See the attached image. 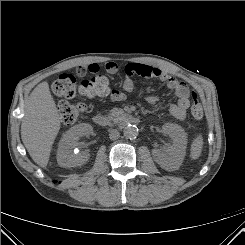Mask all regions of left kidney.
Wrapping results in <instances>:
<instances>
[{
	"mask_svg": "<svg viewBox=\"0 0 245 245\" xmlns=\"http://www.w3.org/2000/svg\"><path fill=\"white\" fill-rule=\"evenodd\" d=\"M162 129L172 138L173 144L165 150L154 149L152 151L153 157L162 168H177L185 157L187 134L181 126L173 123L163 125Z\"/></svg>",
	"mask_w": 245,
	"mask_h": 245,
	"instance_id": "obj_1",
	"label": "left kidney"
}]
</instances>
